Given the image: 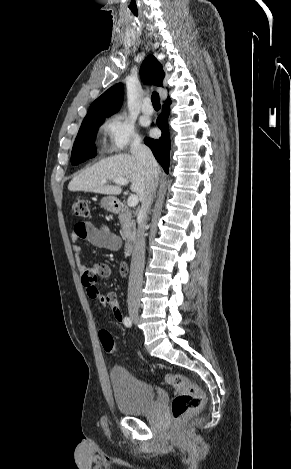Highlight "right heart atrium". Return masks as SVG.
Instances as JSON below:
<instances>
[{
	"label": "right heart atrium",
	"mask_w": 291,
	"mask_h": 469,
	"mask_svg": "<svg viewBox=\"0 0 291 469\" xmlns=\"http://www.w3.org/2000/svg\"><path fill=\"white\" fill-rule=\"evenodd\" d=\"M101 131L106 149L110 152H123L140 144L134 123L123 113L109 116L102 124Z\"/></svg>",
	"instance_id": "1"
}]
</instances>
